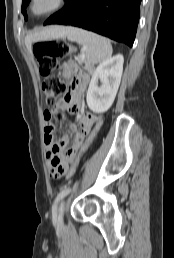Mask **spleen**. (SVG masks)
Here are the masks:
<instances>
[{
  "label": "spleen",
  "mask_w": 174,
  "mask_h": 258,
  "mask_svg": "<svg viewBox=\"0 0 174 258\" xmlns=\"http://www.w3.org/2000/svg\"><path fill=\"white\" fill-rule=\"evenodd\" d=\"M65 36L69 41L82 45L87 61L91 64L105 61L112 55V46L109 39L96 33L76 27H67Z\"/></svg>",
  "instance_id": "1"
}]
</instances>
